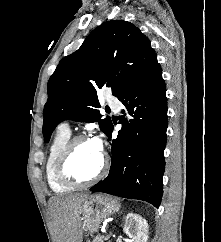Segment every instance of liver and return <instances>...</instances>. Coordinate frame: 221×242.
Here are the masks:
<instances>
[{
	"label": "liver",
	"mask_w": 221,
	"mask_h": 242,
	"mask_svg": "<svg viewBox=\"0 0 221 242\" xmlns=\"http://www.w3.org/2000/svg\"><path fill=\"white\" fill-rule=\"evenodd\" d=\"M88 196V193H80L50 199L55 242H82L80 208Z\"/></svg>",
	"instance_id": "liver-1"
}]
</instances>
